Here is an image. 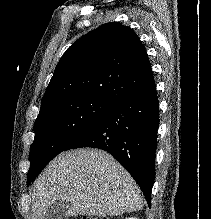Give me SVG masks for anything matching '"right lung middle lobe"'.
I'll return each mask as SVG.
<instances>
[{"label": "right lung middle lobe", "instance_id": "1", "mask_svg": "<svg viewBox=\"0 0 211 219\" xmlns=\"http://www.w3.org/2000/svg\"><path fill=\"white\" fill-rule=\"evenodd\" d=\"M115 103L100 97L74 98L55 103L38 115L30 148V184L43 168Z\"/></svg>", "mask_w": 211, "mask_h": 219}]
</instances>
